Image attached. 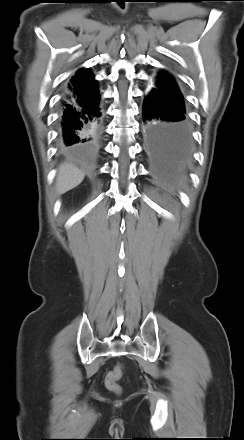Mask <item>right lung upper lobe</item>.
Masks as SVG:
<instances>
[{"instance_id":"1","label":"right lung upper lobe","mask_w":244,"mask_h":440,"mask_svg":"<svg viewBox=\"0 0 244 440\" xmlns=\"http://www.w3.org/2000/svg\"><path fill=\"white\" fill-rule=\"evenodd\" d=\"M98 94L97 81L90 69H79L68 83L65 99L80 100L91 98Z\"/></svg>"}]
</instances>
